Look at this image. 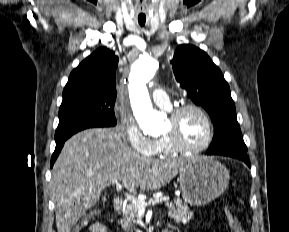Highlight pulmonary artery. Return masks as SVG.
Segmentation results:
<instances>
[{
  "label": "pulmonary artery",
  "mask_w": 289,
  "mask_h": 232,
  "mask_svg": "<svg viewBox=\"0 0 289 232\" xmlns=\"http://www.w3.org/2000/svg\"><path fill=\"white\" fill-rule=\"evenodd\" d=\"M153 102L164 109H170V101L167 93L162 89H155L152 93Z\"/></svg>",
  "instance_id": "e3ab8cb5"
}]
</instances>
